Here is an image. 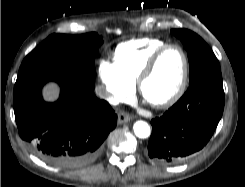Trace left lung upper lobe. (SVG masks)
Segmentation results:
<instances>
[{"label": "left lung upper lobe", "instance_id": "left-lung-upper-lobe-1", "mask_svg": "<svg viewBox=\"0 0 245 187\" xmlns=\"http://www.w3.org/2000/svg\"><path fill=\"white\" fill-rule=\"evenodd\" d=\"M172 34L182 41L188 52L190 84L202 76L220 71L216 56L200 36L187 29H173Z\"/></svg>", "mask_w": 245, "mask_h": 187}]
</instances>
